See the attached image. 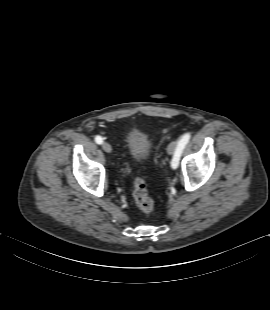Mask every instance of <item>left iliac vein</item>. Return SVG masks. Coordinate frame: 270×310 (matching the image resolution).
Returning <instances> with one entry per match:
<instances>
[{"instance_id": "left-iliac-vein-1", "label": "left iliac vein", "mask_w": 270, "mask_h": 310, "mask_svg": "<svg viewBox=\"0 0 270 310\" xmlns=\"http://www.w3.org/2000/svg\"><path fill=\"white\" fill-rule=\"evenodd\" d=\"M177 145V141H172L167 147L168 154L172 155L175 152Z\"/></svg>"}]
</instances>
